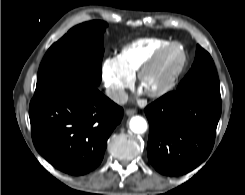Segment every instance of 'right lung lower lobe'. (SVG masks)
<instances>
[{"mask_svg": "<svg viewBox=\"0 0 245 195\" xmlns=\"http://www.w3.org/2000/svg\"><path fill=\"white\" fill-rule=\"evenodd\" d=\"M29 116L37 151L60 171L79 176L101 163L123 109L96 86L73 85L34 96Z\"/></svg>", "mask_w": 245, "mask_h": 195, "instance_id": "right-lung-lower-lobe-1", "label": "right lung lower lobe"}]
</instances>
